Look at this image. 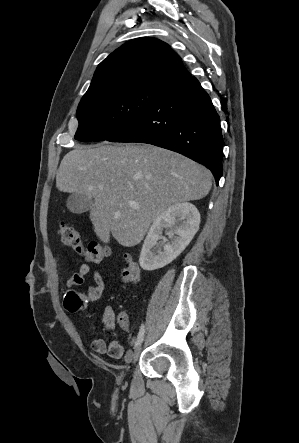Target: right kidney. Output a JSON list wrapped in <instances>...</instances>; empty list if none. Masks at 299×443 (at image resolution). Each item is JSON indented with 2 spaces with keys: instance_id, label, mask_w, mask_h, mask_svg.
<instances>
[{
  "instance_id": "right-kidney-1",
  "label": "right kidney",
  "mask_w": 299,
  "mask_h": 443,
  "mask_svg": "<svg viewBox=\"0 0 299 443\" xmlns=\"http://www.w3.org/2000/svg\"><path fill=\"white\" fill-rule=\"evenodd\" d=\"M199 224V211L191 203L176 204L163 211L144 240L139 258L141 268L153 271L171 263L193 239ZM163 230L171 241L162 236ZM161 239L163 242L158 243Z\"/></svg>"
}]
</instances>
